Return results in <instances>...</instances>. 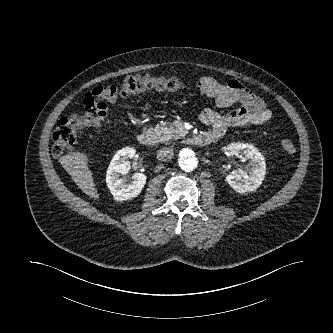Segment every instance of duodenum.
Instances as JSON below:
<instances>
[{"label": "duodenum", "mask_w": 333, "mask_h": 333, "mask_svg": "<svg viewBox=\"0 0 333 333\" xmlns=\"http://www.w3.org/2000/svg\"><path fill=\"white\" fill-rule=\"evenodd\" d=\"M213 140V136L207 132H201L190 137L189 141L197 146H206ZM154 141V134L150 132H143L138 136V142L141 145L149 146Z\"/></svg>", "instance_id": "410a0bca"}]
</instances>
